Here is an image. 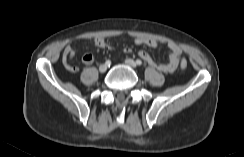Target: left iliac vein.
<instances>
[{
    "label": "left iliac vein",
    "instance_id": "left-iliac-vein-1",
    "mask_svg": "<svg viewBox=\"0 0 244 157\" xmlns=\"http://www.w3.org/2000/svg\"><path fill=\"white\" fill-rule=\"evenodd\" d=\"M125 64L134 69L137 67L136 62L132 59H126Z\"/></svg>",
    "mask_w": 244,
    "mask_h": 157
}]
</instances>
